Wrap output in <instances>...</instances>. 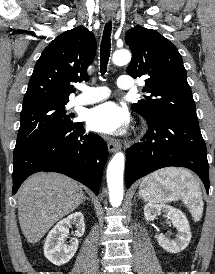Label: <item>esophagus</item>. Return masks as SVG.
Wrapping results in <instances>:
<instances>
[{"mask_svg": "<svg viewBox=\"0 0 215 274\" xmlns=\"http://www.w3.org/2000/svg\"><path fill=\"white\" fill-rule=\"evenodd\" d=\"M106 16L108 19H110L112 18L113 14L108 13ZM107 146L110 152H115L121 149V144L119 142L112 141V140L108 141Z\"/></svg>", "mask_w": 215, "mask_h": 274, "instance_id": "obj_1", "label": "esophagus"}]
</instances>
